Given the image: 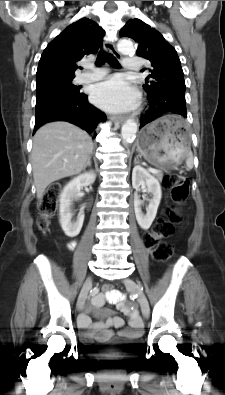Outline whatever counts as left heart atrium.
<instances>
[{"instance_id":"39dd6f15","label":"left heart atrium","mask_w":225,"mask_h":395,"mask_svg":"<svg viewBox=\"0 0 225 395\" xmlns=\"http://www.w3.org/2000/svg\"><path fill=\"white\" fill-rule=\"evenodd\" d=\"M91 98L96 105L116 112L131 108L137 94L124 79L114 76L97 84Z\"/></svg>"}]
</instances>
